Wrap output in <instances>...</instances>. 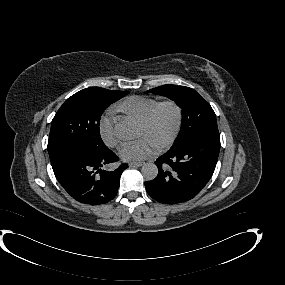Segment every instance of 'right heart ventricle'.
I'll return each instance as SVG.
<instances>
[{
  "instance_id": "1",
  "label": "right heart ventricle",
  "mask_w": 285,
  "mask_h": 285,
  "mask_svg": "<svg viewBox=\"0 0 285 285\" xmlns=\"http://www.w3.org/2000/svg\"><path fill=\"white\" fill-rule=\"evenodd\" d=\"M159 103L158 99L132 97L121 109L130 120L144 125L152 117Z\"/></svg>"
}]
</instances>
